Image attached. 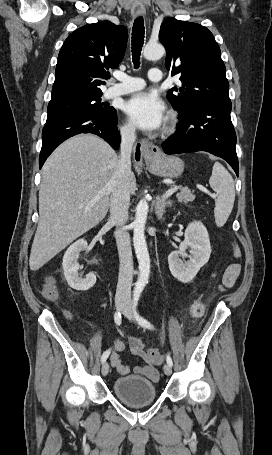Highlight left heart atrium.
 <instances>
[{"label":"left heart atrium","instance_id":"obj_1","mask_svg":"<svg viewBox=\"0 0 272 455\" xmlns=\"http://www.w3.org/2000/svg\"><path fill=\"white\" fill-rule=\"evenodd\" d=\"M124 111L138 128L145 131L157 130L165 121L164 103L151 93L133 95L126 101Z\"/></svg>","mask_w":272,"mask_h":455}]
</instances>
